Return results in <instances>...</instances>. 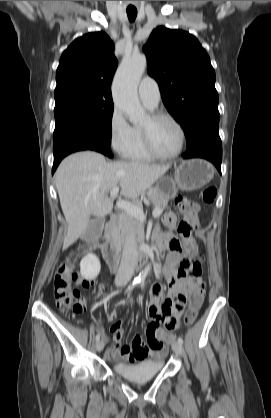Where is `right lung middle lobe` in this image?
Returning a JSON list of instances; mask_svg holds the SVG:
<instances>
[{"label":"right lung middle lobe","mask_w":271,"mask_h":418,"mask_svg":"<svg viewBox=\"0 0 271 418\" xmlns=\"http://www.w3.org/2000/svg\"><path fill=\"white\" fill-rule=\"evenodd\" d=\"M53 146L74 138L103 134L110 139L113 101L73 98L55 103Z\"/></svg>","instance_id":"1"}]
</instances>
